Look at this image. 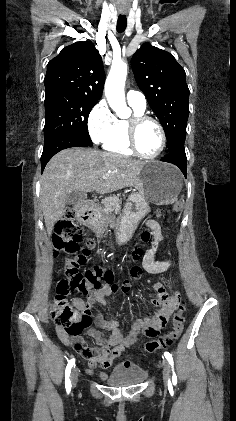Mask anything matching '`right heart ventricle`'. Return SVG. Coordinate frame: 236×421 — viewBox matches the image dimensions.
Returning <instances> with one entry per match:
<instances>
[{"label":"right heart ventricle","mask_w":236,"mask_h":421,"mask_svg":"<svg viewBox=\"0 0 236 421\" xmlns=\"http://www.w3.org/2000/svg\"><path fill=\"white\" fill-rule=\"evenodd\" d=\"M132 108L134 110V113H143L144 111V109H139L135 106H132ZM125 122L126 119L115 118L111 131L102 143V147L104 150L121 156L133 155V152L131 151L127 143L125 135Z\"/></svg>","instance_id":"e07e8e85"}]
</instances>
